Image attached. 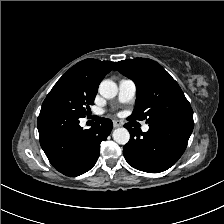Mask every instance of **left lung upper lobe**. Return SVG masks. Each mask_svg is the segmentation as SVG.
<instances>
[{"label":"left lung upper lobe","instance_id":"left-lung-upper-lobe-1","mask_svg":"<svg viewBox=\"0 0 224 224\" xmlns=\"http://www.w3.org/2000/svg\"><path fill=\"white\" fill-rule=\"evenodd\" d=\"M118 70L136 84L133 120L146 119L148 124L192 122L193 110L178 83L157 62L147 58L119 61Z\"/></svg>","mask_w":224,"mask_h":224}]
</instances>
